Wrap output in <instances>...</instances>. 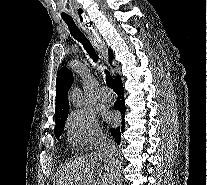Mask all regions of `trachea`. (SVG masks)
Here are the masks:
<instances>
[{"label":"trachea","instance_id":"trachea-1","mask_svg":"<svg viewBox=\"0 0 207 185\" xmlns=\"http://www.w3.org/2000/svg\"><path fill=\"white\" fill-rule=\"evenodd\" d=\"M63 20L68 25L71 35L76 40L80 41L83 44V46H84L85 50L87 51V53H89L90 57L93 58L94 61H97L98 56L95 54L90 42L80 32V30L76 27L73 19L63 17ZM105 73H106V83H107L108 87L112 88L114 90V92L118 93L117 87H116V84H115L113 78L111 77L109 72H107V70L105 71Z\"/></svg>","mask_w":207,"mask_h":185}]
</instances>
